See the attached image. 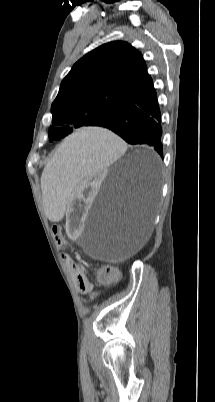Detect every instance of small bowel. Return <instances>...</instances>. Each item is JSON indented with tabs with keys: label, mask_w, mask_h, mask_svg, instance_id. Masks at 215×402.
I'll use <instances>...</instances> for the list:
<instances>
[{
	"label": "small bowel",
	"mask_w": 215,
	"mask_h": 402,
	"mask_svg": "<svg viewBox=\"0 0 215 402\" xmlns=\"http://www.w3.org/2000/svg\"><path fill=\"white\" fill-rule=\"evenodd\" d=\"M76 282H77V286H78L79 290L83 293L89 292L92 288V285L89 282L85 273H83L81 275H76Z\"/></svg>",
	"instance_id": "obj_1"
}]
</instances>
